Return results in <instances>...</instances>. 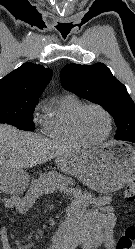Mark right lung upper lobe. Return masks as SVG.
Returning a JSON list of instances; mask_svg holds the SVG:
<instances>
[{"instance_id": "obj_1", "label": "right lung upper lobe", "mask_w": 135, "mask_h": 249, "mask_svg": "<svg viewBox=\"0 0 135 249\" xmlns=\"http://www.w3.org/2000/svg\"><path fill=\"white\" fill-rule=\"evenodd\" d=\"M52 77V70L42 65L24 63L0 80V95L38 99Z\"/></svg>"}]
</instances>
